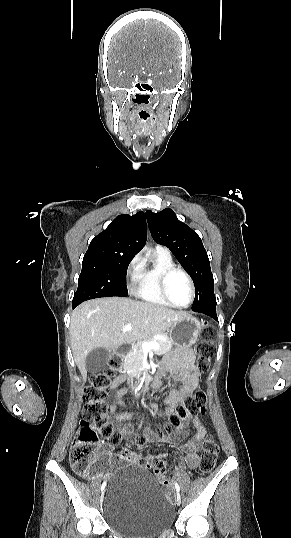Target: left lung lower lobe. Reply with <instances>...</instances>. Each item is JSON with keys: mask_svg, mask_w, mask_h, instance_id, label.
<instances>
[{"mask_svg": "<svg viewBox=\"0 0 291 538\" xmlns=\"http://www.w3.org/2000/svg\"><path fill=\"white\" fill-rule=\"evenodd\" d=\"M192 310L195 311V312L206 314V315L211 316V317H213L214 319L217 320L216 303H211V304L206 305L204 307H194L193 306Z\"/></svg>", "mask_w": 291, "mask_h": 538, "instance_id": "obj_1", "label": "left lung lower lobe"}]
</instances>
